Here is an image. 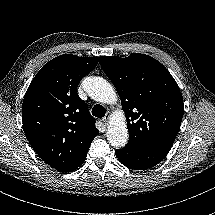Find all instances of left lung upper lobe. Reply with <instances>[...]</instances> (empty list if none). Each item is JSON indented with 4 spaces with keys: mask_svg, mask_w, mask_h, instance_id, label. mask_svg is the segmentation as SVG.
I'll return each mask as SVG.
<instances>
[{
    "mask_svg": "<svg viewBox=\"0 0 215 215\" xmlns=\"http://www.w3.org/2000/svg\"><path fill=\"white\" fill-rule=\"evenodd\" d=\"M100 65L113 82L127 118L134 148H170L183 117V97L169 71L154 58L100 57Z\"/></svg>",
    "mask_w": 215,
    "mask_h": 215,
    "instance_id": "obj_1",
    "label": "left lung upper lobe"
}]
</instances>
